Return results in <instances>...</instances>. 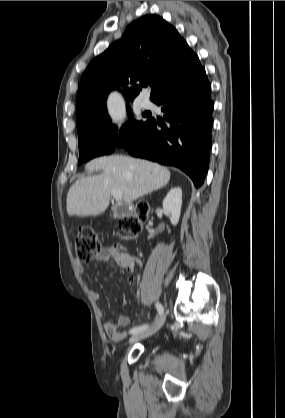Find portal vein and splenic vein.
<instances>
[{"mask_svg": "<svg viewBox=\"0 0 285 418\" xmlns=\"http://www.w3.org/2000/svg\"><path fill=\"white\" fill-rule=\"evenodd\" d=\"M111 195L116 201L122 200V192L120 190H113L111 191Z\"/></svg>", "mask_w": 285, "mask_h": 418, "instance_id": "18ae733b", "label": "portal vein and splenic vein"}]
</instances>
